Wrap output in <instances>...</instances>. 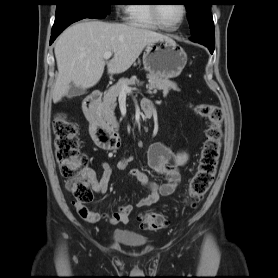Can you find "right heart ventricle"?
<instances>
[{
	"mask_svg": "<svg viewBox=\"0 0 278 278\" xmlns=\"http://www.w3.org/2000/svg\"><path fill=\"white\" fill-rule=\"evenodd\" d=\"M128 20L131 24L156 29L158 26L154 23L149 4L134 3L128 6Z\"/></svg>",
	"mask_w": 278,
	"mask_h": 278,
	"instance_id": "right-heart-ventricle-1",
	"label": "right heart ventricle"
}]
</instances>
